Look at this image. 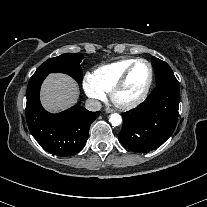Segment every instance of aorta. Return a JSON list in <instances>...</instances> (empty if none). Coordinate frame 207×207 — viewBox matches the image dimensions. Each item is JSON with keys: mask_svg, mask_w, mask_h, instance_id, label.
Instances as JSON below:
<instances>
[{"mask_svg": "<svg viewBox=\"0 0 207 207\" xmlns=\"http://www.w3.org/2000/svg\"><path fill=\"white\" fill-rule=\"evenodd\" d=\"M109 122L112 126H118L122 123V118L118 113H113L110 115Z\"/></svg>", "mask_w": 207, "mask_h": 207, "instance_id": "aorta-1", "label": "aorta"}]
</instances>
